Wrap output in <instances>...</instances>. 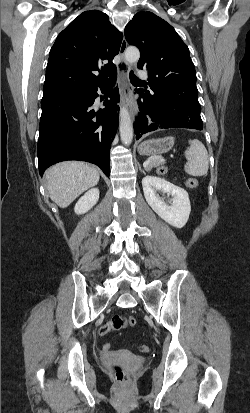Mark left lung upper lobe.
Segmentation results:
<instances>
[{"label": "left lung upper lobe", "mask_w": 250, "mask_h": 413, "mask_svg": "<svg viewBox=\"0 0 250 413\" xmlns=\"http://www.w3.org/2000/svg\"><path fill=\"white\" fill-rule=\"evenodd\" d=\"M125 38L141 52L137 67L148 71L154 86L196 84L189 49L175 29L152 12H138L125 27Z\"/></svg>", "instance_id": "1"}]
</instances>
